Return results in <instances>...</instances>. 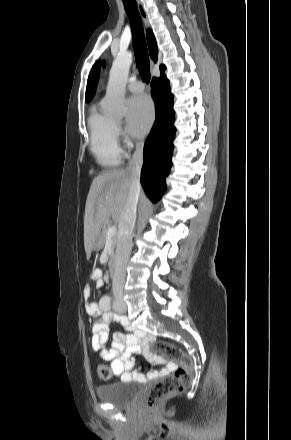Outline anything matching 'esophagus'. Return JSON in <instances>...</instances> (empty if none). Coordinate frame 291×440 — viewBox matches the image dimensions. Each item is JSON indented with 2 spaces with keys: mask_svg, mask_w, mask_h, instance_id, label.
Returning <instances> with one entry per match:
<instances>
[{
  "mask_svg": "<svg viewBox=\"0 0 291 440\" xmlns=\"http://www.w3.org/2000/svg\"><path fill=\"white\" fill-rule=\"evenodd\" d=\"M137 5H138V10L140 12V15H141V18L143 20L144 25L146 27H148V18H147L146 11H145L143 5L139 1H137Z\"/></svg>",
  "mask_w": 291,
  "mask_h": 440,
  "instance_id": "esophagus-1",
  "label": "esophagus"
}]
</instances>
